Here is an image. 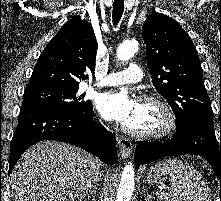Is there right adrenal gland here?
<instances>
[{"instance_id":"obj_1","label":"right adrenal gland","mask_w":221,"mask_h":201,"mask_svg":"<svg viewBox=\"0 0 221 201\" xmlns=\"http://www.w3.org/2000/svg\"><path fill=\"white\" fill-rule=\"evenodd\" d=\"M96 194V187L93 186L92 188H90V190L80 199V201H82L86 196H93ZM94 201V200H93Z\"/></svg>"}]
</instances>
